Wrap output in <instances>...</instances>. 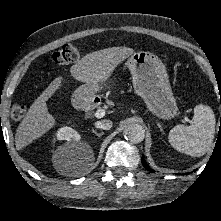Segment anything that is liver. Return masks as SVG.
I'll return each mask as SVG.
<instances>
[{
    "mask_svg": "<svg viewBox=\"0 0 221 221\" xmlns=\"http://www.w3.org/2000/svg\"><path fill=\"white\" fill-rule=\"evenodd\" d=\"M134 53L132 48L111 47L85 55L70 68L72 77L86 84L105 82L115 68ZM63 77L55 78L30 106L25 118L19 124L15 142L18 149L28 146L55 125V118L49 113L46 101L60 88Z\"/></svg>",
    "mask_w": 221,
    "mask_h": 221,
    "instance_id": "1",
    "label": "liver"
}]
</instances>
